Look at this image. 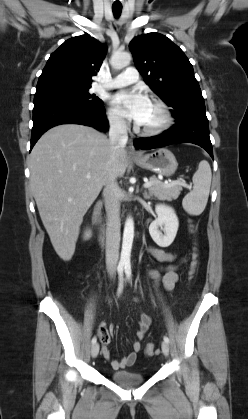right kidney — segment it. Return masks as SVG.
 Segmentation results:
<instances>
[{"label":"right kidney","mask_w":248,"mask_h":419,"mask_svg":"<svg viewBox=\"0 0 248 419\" xmlns=\"http://www.w3.org/2000/svg\"><path fill=\"white\" fill-rule=\"evenodd\" d=\"M90 236H91V231L90 230L86 231L85 234H84V238L88 239V238H90Z\"/></svg>","instance_id":"ca27d5eb"}]
</instances>
